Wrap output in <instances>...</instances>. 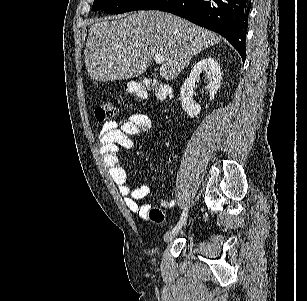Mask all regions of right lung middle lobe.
Masks as SVG:
<instances>
[{"label":"right lung middle lobe","instance_id":"right-lung-middle-lobe-1","mask_svg":"<svg viewBox=\"0 0 307 301\" xmlns=\"http://www.w3.org/2000/svg\"><path fill=\"white\" fill-rule=\"evenodd\" d=\"M153 0H94L92 11H104L119 14L134 10H142Z\"/></svg>","mask_w":307,"mask_h":301}]
</instances>
